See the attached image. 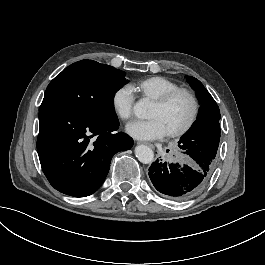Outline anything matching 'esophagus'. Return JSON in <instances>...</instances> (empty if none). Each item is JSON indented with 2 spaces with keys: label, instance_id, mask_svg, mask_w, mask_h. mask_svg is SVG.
Segmentation results:
<instances>
[{
  "label": "esophagus",
  "instance_id": "1",
  "mask_svg": "<svg viewBox=\"0 0 265 265\" xmlns=\"http://www.w3.org/2000/svg\"><path fill=\"white\" fill-rule=\"evenodd\" d=\"M138 144L139 145H146V146H148L149 148H151V149H155V146L153 145V144H151V143H148V142H138Z\"/></svg>",
  "mask_w": 265,
  "mask_h": 265
}]
</instances>
